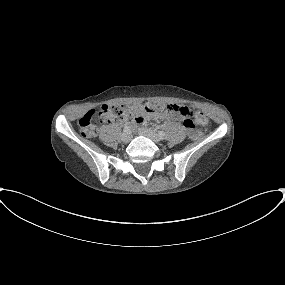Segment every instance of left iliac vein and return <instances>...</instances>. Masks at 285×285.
Here are the masks:
<instances>
[{"mask_svg":"<svg viewBox=\"0 0 285 285\" xmlns=\"http://www.w3.org/2000/svg\"><path fill=\"white\" fill-rule=\"evenodd\" d=\"M140 134L150 138L154 142L160 141V137L153 130H151L149 128H142L140 130Z\"/></svg>","mask_w":285,"mask_h":285,"instance_id":"obj_1","label":"left iliac vein"}]
</instances>
